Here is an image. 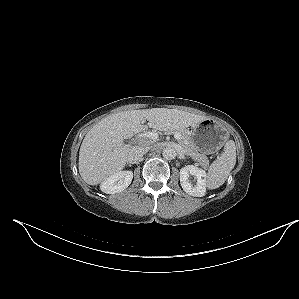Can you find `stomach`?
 <instances>
[{
  "label": "stomach",
  "instance_id": "1",
  "mask_svg": "<svg viewBox=\"0 0 299 299\" xmlns=\"http://www.w3.org/2000/svg\"><path fill=\"white\" fill-rule=\"evenodd\" d=\"M189 137L196 150L210 154L221 147L226 139V134L217 123L205 119L191 127Z\"/></svg>",
  "mask_w": 299,
  "mask_h": 299
}]
</instances>
